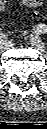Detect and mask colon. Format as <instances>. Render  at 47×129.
<instances>
[{"label":"colon","mask_w":47,"mask_h":129,"mask_svg":"<svg viewBox=\"0 0 47 129\" xmlns=\"http://www.w3.org/2000/svg\"><path fill=\"white\" fill-rule=\"evenodd\" d=\"M23 3L26 6L32 8L36 14L37 9L40 8L44 4V0H23Z\"/></svg>","instance_id":"colon-1"}]
</instances>
